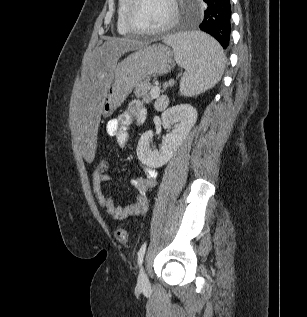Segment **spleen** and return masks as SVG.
Returning <instances> with one entry per match:
<instances>
[{
	"label": "spleen",
	"mask_w": 307,
	"mask_h": 317,
	"mask_svg": "<svg viewBox=\"0 0 307 317\" xmlns=\"http://www.w3.org/2000/svg\"><path fill=\"white\" fill-rule=\"evenodd\" d=\"M163 42L173 48L177 64L185 69L180 82L181 95H199L221 79L225 55L211 36L192 32L164 37Z\"/></svg>",
	"instance_id": "3e777b00"
}]
</instances>
